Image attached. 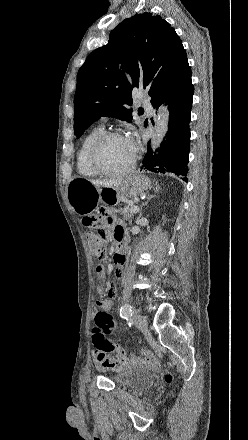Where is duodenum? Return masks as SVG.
I'll list each match as a JSON object with an SVG mask.
<instances>
[{
    "mask_svg": "<svg viewBox=\"0 0 248 440\" xmlns=\"http://www.w3.org/2000/svg\"><path fill=\"white\" fill-rule=\"evenodd\" d=\"M126 250H127V247H126V245L124 243L118 244V254L120 256L124 255Z\"/></svg>",
    "mask_w": 248,
    "mask_h": 440,
    "instance_id": "1",
    "label": "duodenum"
}]
</instances>
